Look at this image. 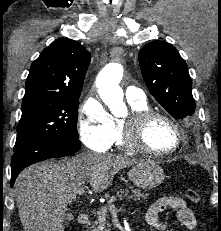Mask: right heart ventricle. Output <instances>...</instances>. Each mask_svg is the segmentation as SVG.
Instances as JSON below:
<instances>
[{
  "mask_svg": "<svg viewBox=\"0 0 221 231\" xmlns=\"http://www.w3.org/2000/svg\"><path fill=\"white\" fill-rule=\"evenodd\" d=\"M131 110L132 111H140V110H145L148 109V105L147 102H129ZM115 139H114V143L120 147V148H126L122 142V132H121V121L117 120L115 121Z\"/></svg>",
  "mask_w": 221,
  "mask_h": 231,
  "instance_id": "1",
  "label": "right heart ventricle"
}]
</instances>
